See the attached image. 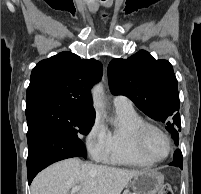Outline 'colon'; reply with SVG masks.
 <instances>
[{
  "label": "colon",
  "instance_id": "5ec220e1",
  "mask_svg": "<svg viewBox=\"0 0 201 194\" xmlns=\"http://www.w3.org/2000/svg\"><path fill=\"white\" fill-rule=\"evenodd\" d=\"M158 194H173V191L169 185H165L161 188Z\"/></svg>",
  "mask_w": 201,
  "mask_h": 194
}]
</instances>
